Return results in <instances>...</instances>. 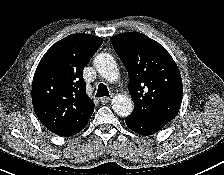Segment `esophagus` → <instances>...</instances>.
<instances>
[{"label":"esophagus","instance_id":"1","mask_svg":"<svg viewBox=\"0 0 224 175\" xmlns=\"http://www.w3.org/2000/svg\"><path fill=\"white\" fill-rule=\"evenodd\" d=\"M110 100H111L110 97H103V98L100 99V102H101L102 104H106V103H109Z\"/></svg>","mask_w":224,"mask_h":175}]
</instances>
